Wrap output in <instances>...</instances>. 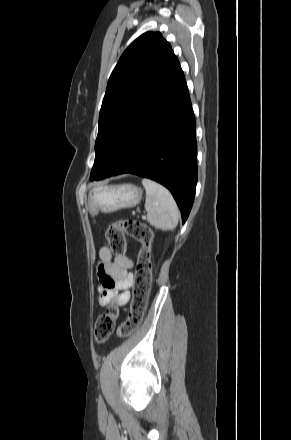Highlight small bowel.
<instances>
[{"label": "small bowel", "instance_id": "c3829d8e", "mask_svg": "<svg viewBox=\"0 0 291 440\" xmlns=\"http://www.w3.org/2000/svg\"><path fill=\"white\" fill-rule=\"evenodd\" d=\"M100 265L98 276L105 288L109 280L114 281L115 289H105L99 299L100 304L115 301L119 305H125L130 299V287L133 284V275L128 272L133 267V262L126 256H114L109 248L103 246L99 251ZM118 291H121L120 293Z\"/></svg>", "mask_w": 291, "mask_h": 440}]
</instances>
